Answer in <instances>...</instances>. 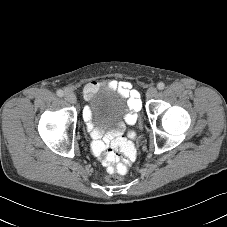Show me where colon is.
Segmentation results:
<instances>
[{"label": "colon", "instance_id": "5ec220e1", "mask_svg": "<svg viewBox=\"0 0 227 227\" xmlns=\"http://www.w3.org/2000/svg\"><path fill=\"white\" fill-rule=\"evenodd\" d=\"M119 153L113 149H108L105 153L104 161L108 166L106 180L109 183H117L122 179V174H124L127 170L126 165H122L120 168L117 166L114 167L119 161Z\"/></svg>", "mask_w": 227, "mask_h": 227}]
</instances>
